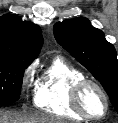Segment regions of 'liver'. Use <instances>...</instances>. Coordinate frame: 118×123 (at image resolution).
<instances>
[{"mask_svg":"<svg viewBox=\"0 0 118 123\" xmlns=\"http://www.w3.org/2000/svg\"><path fill=\"white\" fill-rule=\"evenodd\" d=\"M0 123H67L65 120L42 114H25L19 112L0 111Z\"/></svg>","mask_w":118,"mask_h":123,"instance_id":"1","label":"liver"}]
</instances>
